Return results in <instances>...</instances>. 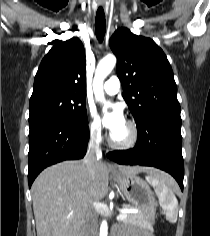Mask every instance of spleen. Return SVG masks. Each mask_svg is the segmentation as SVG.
<instances>
[{
  "label": "spleen",
  "mask_w": 210,
  "mask_h": 236,
  "mask_svg": "<svg viewBox=\"0 0 210 236\" xmlns=\"http://www.w3.org/2000/svg\"><path fill=\"white\" fill-rule=\"evenodd\" d=\"M146 180L153 186L156 195L158 196L160 206L164 210L167 219L171 223L177 221L178 201L172 190L173 180L164 178L160 175L149 174Z\"/></svg>",
  "instance_id": "obj_1"
}]
</instances>
